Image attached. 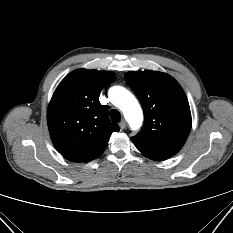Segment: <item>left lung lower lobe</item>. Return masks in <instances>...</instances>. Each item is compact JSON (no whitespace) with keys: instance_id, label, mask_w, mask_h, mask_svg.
Here are the masks:
<instances>
[{"instance_id":"1","label":"left lung lower lobe","mask_w":233,"mask_h":233,"mask_svg":"<svg viewBox=\"0 0 233 233\" xmlns=\"http://www.w3.org/2000/svg\"><path fill=\"white\" fill-rule=\"evenodd\" d=\"M137 149L147 158L162 161L166 160L172 156H174L177 152H166V151H158V150H148L144 148L137 147Z\"/></svg>"}]
</instances>
